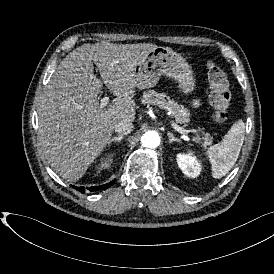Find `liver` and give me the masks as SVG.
<instances>
[{"label": "liver", "instance_id": "6515ba94", "mask_svg": "<svg viewBox=\"0 0 274 274\" xmlns=\"http://www.w3.org/2000/svg\"><path fill=\"white\" fill-rule=\"evenodd\" d=\"M157 45L85 43L70 52L52 74L38 106L43 153L60 176L79 180L111 140L115 125L135 119V66ZM97 66L101 79L94 74ZM103 84L116 96L100 109Z\"/></svg>", "mask_w": 274, "mask_h": 274}]
</instances>
